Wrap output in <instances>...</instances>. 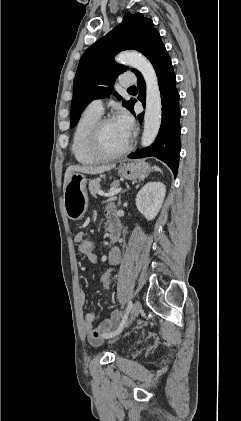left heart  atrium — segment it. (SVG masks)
Listing matches in <instances>:
<instances>
[{
	"label": "left heart atrium",
	"mask_w": 241,
	"mask_h": 421,
	"mask_svg": "<svg viewBox=\"0 0 241 421\" xmlns=\"http://www.w3.org/2000/svg\"><path fill=\"white\" fill-rule=\"evenodd\" d=\"M115 122L122 129L125 135L130 138L134 129V121L130 114L126 111H121L116 117Z\"/></svg>",
	"instance_id": "1"
}]
</instances>
